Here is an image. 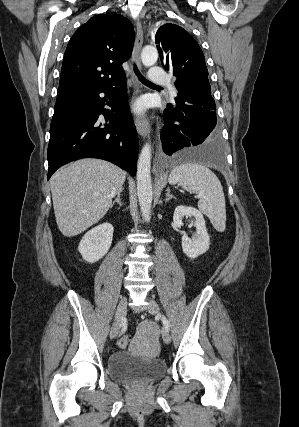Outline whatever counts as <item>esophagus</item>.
<instances>
[{
  "label": "esophagus",
  "mask_w": 299,
  "mask_h": 427,
  "mask_svg": "<svg viewBox=\"0 0 299 427\" xmlns=\"http://www.w3.org/2000/svg\"><path fill=\"white\" fill-rule=\"evenodd\" d=\"M142 44H143V29H142V25H141L140 21H138L137 22V32H136L135 44H134V49H133V60L139 68H141L140 52H141ZM133 78L135 80V85H134L135 93H138V92H140L139 84L136 82V79L134 76H133ZM134 123H135V126H136L138 133L143 138H145L149 135V133H150L149 124H148V121L146 119L140 118V117H135Z\"/></svg>",
  "instance_id": "esophagus-1"
}]
</instances>
